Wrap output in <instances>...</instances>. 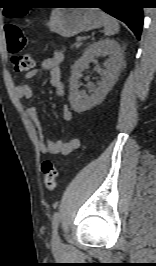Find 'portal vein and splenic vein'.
Segmentation results:
<instances>
[{
	"label": "portal vein and splenic vein",
	"mask_w": 156,
	"mask_h": 266,
	"mask_svg": "<svg viewBox=\"0 0 156 266\" xmlns=\"http://www.w3.org/2000/svg\"><path fill=\"white\" fill-rule=\"evenodd\" d=\"M82 40V37H77V41L80 42Z\"/></svg>",
	"instance_id": "1"
}]
</instances>
